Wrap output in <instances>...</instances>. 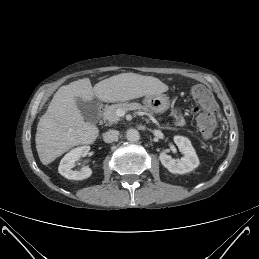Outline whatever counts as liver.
Returning <instances> with one entry per match:
<instances>
[{"label":"liver","instance_id":"1","mask_svg":"<svg viewBox=\"0 0 259 259\" xmlns=\"http://www.w3.org/2000/svg\"><path fill=\"white\" fill-rule=\"evenodd\" d=\"M167 90L168 86L159 79L135 73L109 77L94 87L89 78L60 87L37 125L35 142L40 161L48 165L70 148L92 144L96 140L99 130L84 120L76 105V98L90 101L96 97L103 102L113 103L157 95Z\"/></svg>","mask_w":259,"mask_h":259}]
</instances>
